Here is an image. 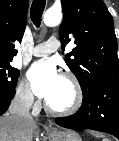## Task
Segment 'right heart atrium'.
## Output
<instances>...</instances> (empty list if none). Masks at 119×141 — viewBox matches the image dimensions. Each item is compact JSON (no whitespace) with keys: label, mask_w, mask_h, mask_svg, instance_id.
<instances>
[{"label":"right heart atrium","mask_w":119,"mask_h":141,"mask_svg":"<svg viewBox=\"0 0 119 141\" xmlns=\"http://www.w3.org/2000/svg\"><path fill=\"white\" fill-rule=\"evenodd\" d=\"M15 97L17 102L26 108H32L36 103L32 89L25 80H21L17 85Z\"/></svg>","instance_id":"obj_1"}]
</instances>
